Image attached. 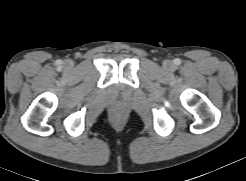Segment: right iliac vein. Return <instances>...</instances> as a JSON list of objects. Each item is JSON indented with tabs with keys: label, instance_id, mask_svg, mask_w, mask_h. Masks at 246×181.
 <instances>
[{
	"label": "right iliac vein",
	"instance_id": "right-iliac-vein-1",
	"mask_svg": "<svg viewBox=\"0 0 246 181\" xmlns=\"http://www.w3.org/2000/svg\"><path fill=\"white\" fill-rule=\"evenodd\" d=\"M64 65L67 69H71L73 67V62L69 60L66 61Z\"/></svg>",
	"mask_w": 246,
	"mask_h": 181
}]
</instances>
